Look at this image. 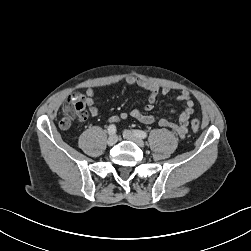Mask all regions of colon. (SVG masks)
<instances>
[{"label":"colon","mask_w":251,"mask_h":251,"mask_svg":"<svg viewBox=\"0 0 251 251\" xmlns=\"http://www.w3.org/2000/svg\"><path fill=\"white\" fill-rule=\"evenodd\" d=\"M65 116L60 121L62 129H68L72 124V116L79 121H83L87 117V112L84 106L83 97L81 94H73L69 97L64 108ZM201 123L198 119L191 121V128L194 132L199 131Z\"/></svg>","instance_id":"1"}]
</instances>
